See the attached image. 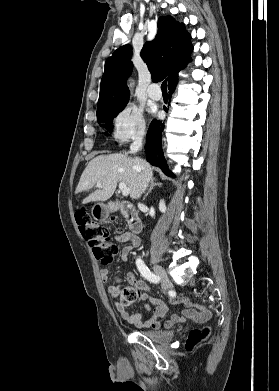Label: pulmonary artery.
<instances>
[{
	"instance_id": "pulmonary-artery-1",
	"label": "pulmonary artery",
	"mask_w": 279,
	"mask_h": 391,
	"mask_svg": "<svg viewBox=\"0 0 279 391\" xmlns=\"http://www.w3.org/2000/svg\"><path fill=\"white\" fill-rule=\"evenodd\" d=\"M149 98L154 101H158L162 98L161 91L157 88V84H151L147 90Z\"/></svg>"
}]
</instances>
